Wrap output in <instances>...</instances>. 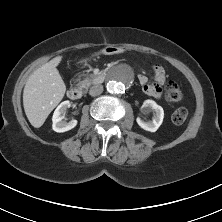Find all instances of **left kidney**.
<instances>
[{
	"instance_id": "1",
	"label": "left kidney",
	"mask_w": 222,
	"mask_h": 222,
	"mask_svg": "<svg viewBox=\"0 0 222 222\" xmlns=\"http://www.w3.org/2000/svg\"><path fill=\"white\" fill-rule=\"evenodd\" d=\"M142 110L144 112H149L150 110L154 111V118L152 121H143L140 118H137L138 125L146 131L155 132L162 124L164 118V110L153 100H146L142 105Z\"/></svg>"
}]
</instances>
